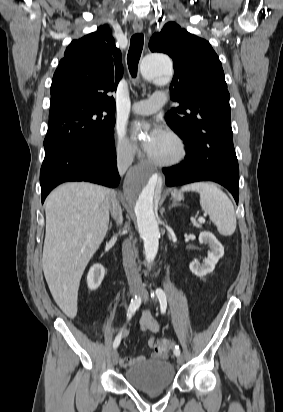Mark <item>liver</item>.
<instances>
[{"label":"liver","mask_w":283,"mask_h":412,"mask_svg":"<svg viewBox=\"0 0 283 412\" xmlns=\"http://www.w3.org/2000/svg\"><path fill=\"white\" fill-rule=\"evenodd\" d=\"M111 190L84 182L57 187L45 201L42 267L50 292L70 318L77 314L82 274L104 240Z\"/></svg>","instance_id":"liver-1"}]
</instances>
